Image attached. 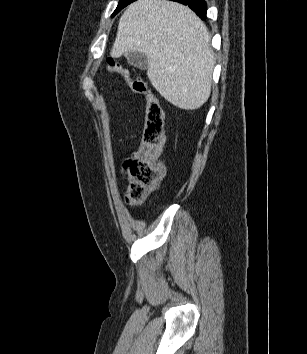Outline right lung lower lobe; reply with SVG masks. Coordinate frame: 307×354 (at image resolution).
Masks as SVG:
<instances>
[{
	"label": "right lung lower lobe",
	"instance_id": "1",
	"mask_svg": "<svg viewBox=\"0 0 307 354\" xmlns=\"http://www.w3.org/2000/svg\"><path fill=\"white\" fill-rule=\"evenodd\" d=\"M188 5L201 19L206 18L207 6L204 0H172Z\"/></svg>",
	"mask_w": 307,
	"mask_h": 354
}]
</instances>
